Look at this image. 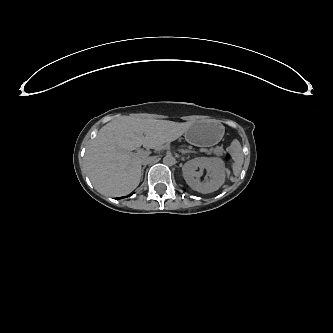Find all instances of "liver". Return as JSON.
<instances>
[{"instance_id": "obj_1", "label": "liver", "mask_w": 333, "mask_h": 333, "mask_svg": "<svg viewBox=\"0 0 333 333\" xmlns=\"http://www.w3.org/2000/svg\"><path fill=\"white\" fill-rule=\"evenodd\" d=\"M181 133H158L146 136L114 137L105 133L88 146L85 161L88 176L94 187L109 194H126L140 183L142 160L132 156L141 147L155 148L176 140Z\"/></svg>"}]
</instances>
